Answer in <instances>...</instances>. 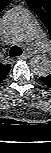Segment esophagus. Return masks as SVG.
<instances>
[{
	"instance_id": "obj_1",
	"label": "esophagus",
	"mask_w": 51,
	"mask_h": 153,
	"mask_svg": "<svg viewBox=\"0 0 51 153\" xmlns=\"http://www.w3.org/2000/svg\"><path fill=\"white\" fill-rule=\"evenodd\" d=\"M29 57H30V54L25 53V54L21 55V56L19 57V59L25 60V59H28Z\"/></svg>"
}]
</instances>
